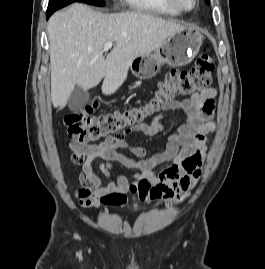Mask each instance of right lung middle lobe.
Returning a JSON list of instances; mask_svg holds the SVG:
<instances>
[{
  "mask_svg": "<svg viewBox=\"0 0 265 269\" xmlns=\"http://www.w3.org/2000/svg\"><path fill=\"white\" fill-rule=\"evenodd\" d=\"M61 2H83L95 6H104V0H49V4L61 3Z\"/></svg>",
  "mask_w": 265,
  "mask_h": 269,
  "instance_id": "right-lung-middle-lobe-1",
  "label": "right lung middle lobe"
}]
</instances>
